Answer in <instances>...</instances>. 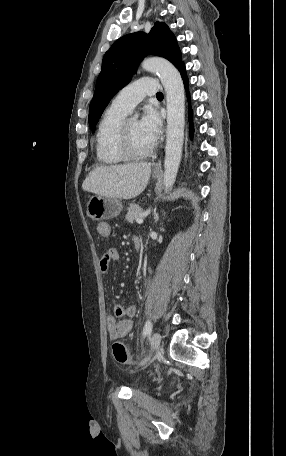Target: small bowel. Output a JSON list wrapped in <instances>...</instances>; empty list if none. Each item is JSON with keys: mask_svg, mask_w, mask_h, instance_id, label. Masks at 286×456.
<instances>
[{"mask_svg": "<svg viewBox=\"0 0 286 456\" xmlns=\"http://www.w3.org/2000/svg\"><path fill=\"white\" fill-rule=\"evenodd\" d=\"M97 232L102 237L111 234V226L107 222H101L97 226ZM120 254L118 249H108L100 258L99 267L103 275H107L111 263L118 261ZM136 314V306L129 304L126 306L116 305L113 314L107 317V330L112 339H119L127 336L132 330L131 318Z\"/></svg>", "mask_w": 286, "mask_h": 456, "instance_id": "1", "label": "small bowel"}]
</instances>
